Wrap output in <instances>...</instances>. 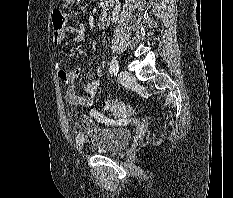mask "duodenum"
<instances>
[{
	"instance_id": "1",
	"label": "duodenum",
	"mask_w": 233,
	"mask_h": 198,
	"mask_svg": "<svg viewBox=\"0 0 233 198\" xmlns=\"http://www.w3.org/2000/svg\"><path fill=\"white\" fill-rule=\"evenodd\" d=\"M114 0H101L100 9L101 14L105 15L107 11L112 7Z\"/></svg>"
}]
</instances>
